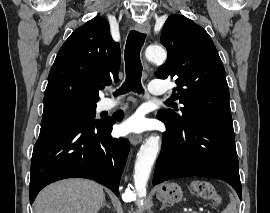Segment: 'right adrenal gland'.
I'll return each mask as SVG.
<instances>
[{
	"label": "right adrenal gland",
	"instance_id": "2a0ac1e0",
	"mask_svg": "<svg viewBox=\"0 0 270 213\" xmlns=\"http://www.w3.org/2000/svg\"><path fill=\"white\" fill-rule=\"evenodd\" d=\"M105 206H106L107 208L111 209L110 205H109V204H107V202H106V201H104V203H103V205H102V208H103V207H105Z\"/></svg>",
	"mask_w": 270,
	"mask_h": 213
}]
</instances>
